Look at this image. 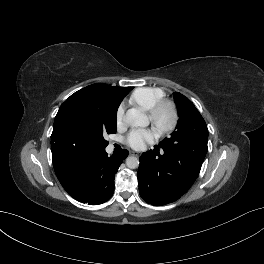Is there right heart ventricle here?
<instances>
[{
  "label": "right heart ventricle",
  "instance_id": "1",
  "mask_svg": "<svg viewBox=\"0 0 264 264\" xmlns=\"http://www.w3.org/2000/svg\"><path fill=\"white\" fill-rule=\"evenodd\" d=\"M165 92L158 87H141L135 89L129 97V102L149 111L159 100L163 99Z\"/></svg>",
  "mask_w": 264,
  "mask_h": 264
}]
</instances>
